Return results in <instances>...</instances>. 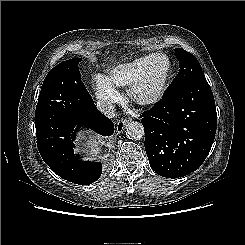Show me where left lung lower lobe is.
<instances>
[{
    "label": "left lung lower lobe",
    "instance_id": "obj_1",
    "mask_svg": "<svg viewBox=\"0 0 245 245\" xmlns=\"http://www.w3.org/2000/svg\"><path fill=\"white\" fill-rule=\"evenodd\" d=\"M216 116L213 93L206 79L165 92L141 115L151 168L167 178L197 170L211 150Z\"/></svg>",
    "mask_w": 245,
    "mask_h": 245
}]
</instances>
